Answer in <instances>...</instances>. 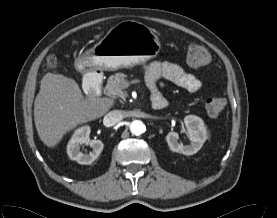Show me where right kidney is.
<instances>
[{
  "label": "right kidney",
  "mask_w": 277,
  "mask_h": 218,
  "mask_svg": "<svg viewBox=\"0 0 277 218\" xmlns=\"http://www.w3.org/2000/svg\"><path fill=\"white\" fill-rule=\"evenodd\" d=\"M90 127L83 126L75 130L67 145V154L71 160L82 165H89L94 162L103 150L104 144L101 140L90 139ZM88 144L92 148L90 153H82L80 147Z\"/></svg>",
  "instance_id": "right-kidney-1"
}]
</instances>
